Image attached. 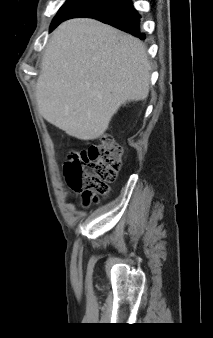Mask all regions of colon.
Returning <instances> with one entry per match:
<instances>
[{
    "mask_svg": "<svg viewBox=\"0 0 213 338\" xmlns=\"http://www.w3.org/2000/svg\"><path fill=\"white\" fill-rule=\"evenodd\" d=\"M123 151L111 137L104 136L88 148L71 151L63 165V177L72 192L83 191V205L98 203L109 191L121 168Z\"/></svg>",
    "mask_w": 213,
    "mask_h": 338,
    "instance_id": "colon-1",
    "label": "colon"
}]
</instances>
